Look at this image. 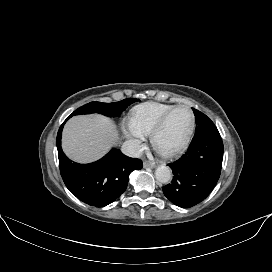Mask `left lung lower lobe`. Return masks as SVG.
<instances>
[{
	"label": "left lung lower lobe",
	"mask_w": 272,
	"mask_h": 272,
	"mask_svg": "<svg viewBox=\"0 0 272 272\" xmlns=\"http://www.w3.org/2000/svg\"><path fill=\"white\" fill-rule=\"evenodd\" d=\"M223 142L217 129L192 139L186 153L169 163L174 177L163 187L164 195L182 208L203 201L215 187L221 172Z\"/></svg>",
	"instance_id": "obj_1"
}]
</instances>
